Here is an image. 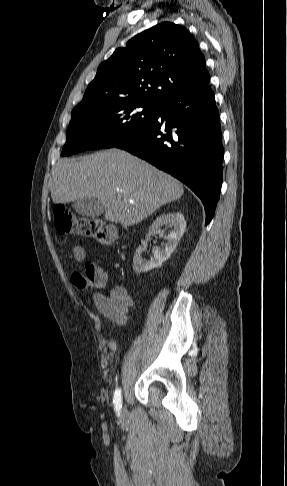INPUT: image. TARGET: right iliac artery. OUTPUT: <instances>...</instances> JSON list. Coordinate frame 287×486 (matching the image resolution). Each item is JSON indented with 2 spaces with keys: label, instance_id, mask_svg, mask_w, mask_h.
I'll use <instances>...</instances> for the list:
<instances>
[{
  "label": "right iliac artery",
  "instance_id": "obj_1",
  "mask_svg": "<svg viewBox=\"0 0 287 486\" xmlns=\"http://www.w3.org/2000/svg\"><path fill=\"white\" fill-rule=\"evenodd\" d=\"M114 406L115 410L119 413L121 408H122V395H121V389H116L114 393Z\"/></svg>",
  "mask_w": 287,
  "mask_h": 486
}]
</instances>
